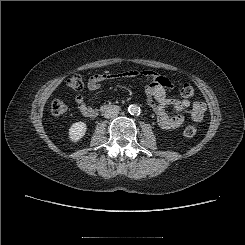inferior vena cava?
<instances>
[{
  "label": "inferior vena cava",
  "mask_w": 245,
  "mask_h": 245,
  "mask_svg": "<svg viewBox=\"0 0 245 245\" xmlns=\"http://www.w3.org/2000/svg\"><path fill=\"white\" fill-rule=\"evenodd\" d=\"M119 114V110L116 108H110L104 112V117L105 118H112L115 117Z\"/></svg>",
  "instance_id": "602c4592"
}]
</instances>
